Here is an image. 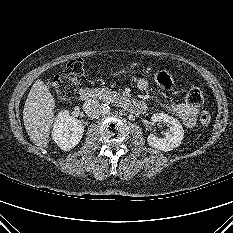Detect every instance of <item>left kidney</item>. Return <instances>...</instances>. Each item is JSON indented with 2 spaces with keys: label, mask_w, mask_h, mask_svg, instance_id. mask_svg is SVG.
I'll list each match as a JSON object with an SVG mask.
<instances>
[{
  "label": "left kidney",
  "mask_w": 233,
  "mask_h": 233,
  "mask_svg": "<svg viewBox=\"0 0 233 233\" xmlns=\"http://www.w3.org/2000/svg\"><path fill=\"white\" fill-rule=\"evenodd\" d=\"M151 121L152 123H164L169 125V130L165 133L164 138H158L154 134L148 136L147 141L151 147L167 152L181 144L184 138V130L177 119L165 113H156L152 115Z\"/></svg>",
  "instance_id": "1"
}]
</instances>
